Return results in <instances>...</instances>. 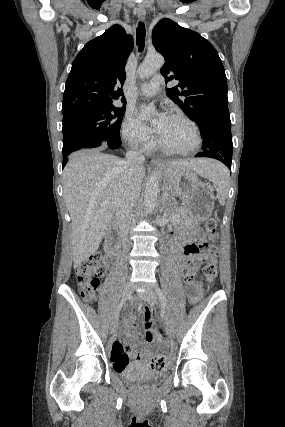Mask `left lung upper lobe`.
Returning <instances> with one entry per match:
<instances>
[{"label": "left lung upper lobe", "mask_w": 285, "mask_h": 427, "mask_svg": "<svg viewBox=\"0 0 285 427\" xmlns=\"http://www.w3.org/2000/svg\"><path fill=\"white\" fill-rule=\"evenodd\" d=\"M152 42L165 57L160 72L166 82L179 81L166 89L167 96L197 124L209 118L230 120L227 78L211 43L167 18L154 27Z\"/></svg>", "instance_id": "obj_1"}]
</instances>
